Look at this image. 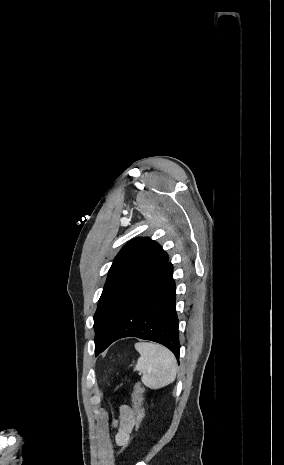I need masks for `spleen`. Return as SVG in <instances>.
<instances>
[{"label": "spleen", "mask_w": 284, "mask_h": 465, "mask_svg": "<svg viewBox=\"0 0 284 465\" xmlns=\"http://www.w3.org/2000/svg\"><path fill=\"white\" fill-rule=\"evenodd\" d=\"M140 357L134 371L143 373L141 381L149 389H162L173 383L177 375L176 359L165 347L157 343H136Z\"/></svg>", "instance_id": "1"}]
</instances>
